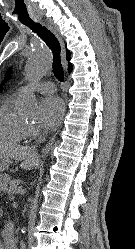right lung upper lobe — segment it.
<instances>
[{
  "mask_svg": "<svg viewBox=\"0 0 135 249\" xmlns=\"http://www.w3.org/2000/svg\"><path fill=\"white\" fill-rule=\"evenodd\" d=\"M70 51L69 50H66V56H67V59L69 60V58H70ZM71 70H72V64L71 63H69V67H68V71H69V73L71 72Z\"/></svg>",
  "mask_w": 135,
  "mask_h": 249,
  "instance_id": "right-lung-upper-lobe-1",
  "label": "right lung upper lobe"
}]
</instances>
